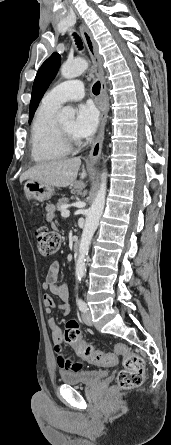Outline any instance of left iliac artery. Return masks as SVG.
Returning a JSON list of instances; mask_svg holds the SVG:
<instances>
[{
    "instance_id": "1",
    "label": "left iliac artery",
    "mask_w": 171,
    "mask_h": 445,
    "mask_svg": "<svg viewBox=\"0 0 171 445\" xmlns=\"http://www.w3.org/2000/svg\"><path fill=\"white\" fill-rule=\"evenodd\" d=\"M77 305H78L80 311L85 312L87 310L86 303L80 298H77Z\"/></svg>"
}]
</instances>
